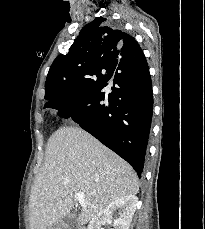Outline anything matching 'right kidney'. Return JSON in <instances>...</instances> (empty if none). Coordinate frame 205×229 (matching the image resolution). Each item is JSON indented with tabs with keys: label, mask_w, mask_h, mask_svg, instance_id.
<instances>
[{
	"label": "right kidney",
	"mask_w": 205,
	"mask_h": 229,
	"mask_svg": "<svg viewBox=\"0 0 205 229\" xmlns=\"http://www.w3.org/2000/svg\"><path fill=\"white\" fill-rule=\"evenodd\" d=\"M137 204L138 198L134 195H127L111 202L91 219L88 229H102L101 226L104 224L112 225V229H129ZM114 212L118 215L115 219Z\"/></svg>",
	"instance_id": "right-kidney-1"
}]
</instances>
